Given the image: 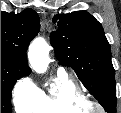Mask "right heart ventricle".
<instances>
[{
	"mask_svg": "<svg viewBox=\"0 0 121 113\" xmlns=\"http://www.w3.org/2000/svg\"><path fill=\"white\" fill-rule=\"evenodd\" d=\"M87 97L63 72L45 91L34 87L32 97L17 105L19 113H59L65 109H80Z\"/></svg>",
	"mask_w": 121,
	"mask_h": 113,
	"instance_id": "right-heart-ventricle-1",
	"label": "right heart ventricle"
}]
</instances>
